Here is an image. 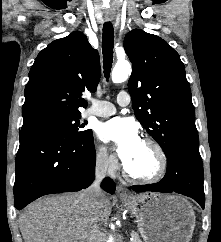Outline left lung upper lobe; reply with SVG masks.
Instances as JSON below:
<instances>
[{"label": "left lung upper lobe", "mask_w": 221, "mask_h": 242, "mask_svg": "<svg viewBox=\"0 0 221 242\" xmlns=\"http://www.w3.org/2000/svg\"><path fill=\"white\" fill-rule=\"evenodd\" d=\"M124 49L132 62L128 87L138 121L166 156L178 145L199 146L190 86L178 53L140 29L126 34Z\"/></svg>", "instance_id": "1"}]
</instances>
